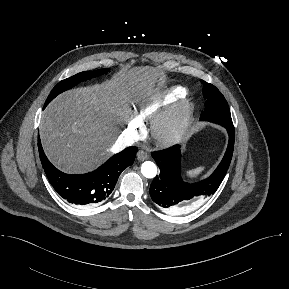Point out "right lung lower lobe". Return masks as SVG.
<instances>
[{
  "instance_id": "right-lung-lower-lobe-1",
  "label": "right lung lower lobe",
  "mask_w": 289,
  "mask_h": 289,
  "mask_svg": "<svg viewBox=\"0 0 289 289\" xmlns=\"http://www.w3.org/2000/svg\"><path fill=\"white\" fill-rule=\"evenodd\" d=\"M38 149L42 166L53 188L62 198L76 205H94L105 200L113 191L121 172L133 164L138 150L137 147H128L93 172L69 175L49 162L39 137Z\"/></svg>"
}]
</instances>
